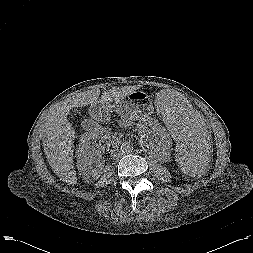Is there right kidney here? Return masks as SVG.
<instances>
[{
	"instance_id": "obj_1",
	"label": "right kidney",
	"mask_w": 253,
	"mask_h": 253,
	"mask_svg": "<svg viewBox=\"0 0 253 253\" xmlns=\"http://www.w3.org/2000/svg\"><path fill=\"white\" fill-rule=\"evenodd\" d=\"M107 138L102 129L90 130L80 136L76 150L77 168L85 182L89 183L100 177L104 166L102 155L109 147ZM94 164L96 167H93Z\"/></svg>"
}]
</instances>
